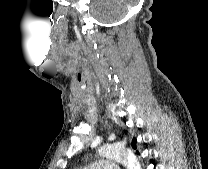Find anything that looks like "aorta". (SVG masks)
Listing matches in <instances>:
<instances>
[{
  "label": "aorta",
  "mask_w": 208,
  "mask_h": 169,
  "mask_svg": "<svg viewBox=\"0 0 208 169\" xmlns=\"http://www.w3.org/2000/svg\"><path fill=\"white\" fill-rule=\"evenodd\" d=\"M98 153L100 156L120 161L127 166V169H141L136 156L130 151L117 144L102 146Z\"/></svg>",
  "instance_id": "aorta-1"
}]
</instances>
